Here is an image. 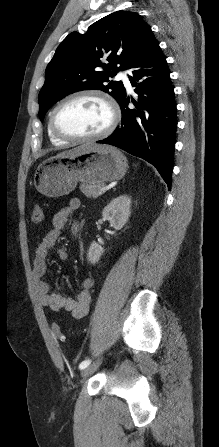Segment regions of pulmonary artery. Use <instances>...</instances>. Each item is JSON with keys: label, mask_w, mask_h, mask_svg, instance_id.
<instances>
[{"label": "pulmonary artery", "mask_w": 219, "mask_h": 447, "mask_svg": "<svg viewBox=\"0 0 219 447\" xmlns=\"http://www.w3.org/2000/svg\"><path fill=\"white\" fill-rule=\"evenodd\" d=\"M118 78H119V79H122V81L124 82L125 86H126L129 90H131V84H130V81H129L128 77L126 76V74H125L124 72H120L119 75H118Z\"/></svg>", "instance_id": "1"}]
</instances>
